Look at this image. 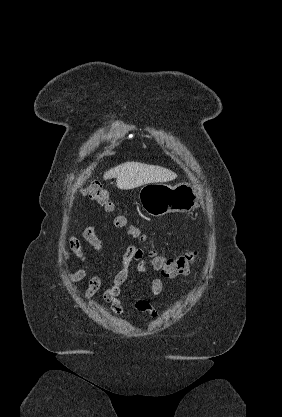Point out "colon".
<instances>
[{"label":"colon","mask_w":282,"mask_h":417,"mask_svg":"<svg viewBox=\"0 0 282 417\" xmlns=\"http://www.w3.org/2000/svg\"><path fill=\"white\" fill-rule=\"evenodd\" d=\"M83 192L113 216L117 227L128 228L130 234L138 240L143 241L145 239L140 229L129 223L126 213L117 208L109 196L107 189L101 183L91 182L86 185ZM196 257L197 254L193 251L186 252L177 257H164L159 254H154L151 258V263L165 278L172 279L187 274L194 264Z\"/></svg>","instance_id":"1"}]
</instances>
